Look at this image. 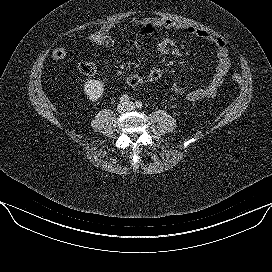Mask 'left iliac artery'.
<instances>
[{
  "mask_svg": "<svg viewBox=\"0 0 272 272\" xmlns=\"http://www.w3.org/2000/svg\"><path fill=\"white\" fill-rule=\"evenodd\" d=\"M135 104H136L137 108H142V106H143L141 101H136Z\"/></svg>",
  "mask_w": 272,
  "mask_h": 272,
  "instance_id": "obj_1",
  "label": "left iliac artery"
}]
</instances>
